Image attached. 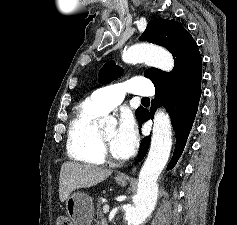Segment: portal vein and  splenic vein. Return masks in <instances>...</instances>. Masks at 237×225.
Wrapping results in <instances>:
<instances>
[{
	"mask_svg": "<svg viewBox=\"0 0 237 225\" xmlns=\"http://www.w3.org/2000/svg\"><path fill=\"white\" fill-rule=\"evenodd\" d=\"M109 210H110V206H109L108 204H105V205L103 206V211H104V213H108Z\"/></svg>",
	"mask_w": 237,
	"mask_h": 225,
	"instance_id": "obj_1",
	"label": "portal vein and splenic vein"
}]
</instances>
